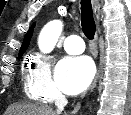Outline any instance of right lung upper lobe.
I'll return each instance as SVG.
<instances>
[{"instance_id":"right-lung-upper-lobe-1","label":"right lung upper lobe","mask_w":131,"mask_h":115,"mask_svg":"<svg viewBox=\"0 0 131 115\" xmlns=\"http://www.w3.org/2000/svg\"><path fill=\"white\" fill-rule=\"evenodd\" d=\"M34 26H35V23L32 25V27L28 30L25 38H24V41L22 43V46L20 48V52H19V55L20 54H23L25 52V50L27 49L28 45H29V42H30V39L32 37V33H33V29H34Z\"/></svg>"}]
</instances>
